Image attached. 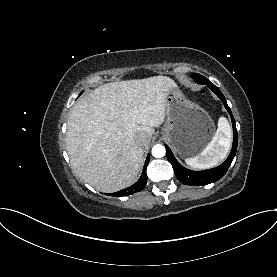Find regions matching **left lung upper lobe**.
Masks as SVG:
<instances>
[{"label": "left lung upper lobe", "mask_w": 277, "mask_h": 277, "mask_svg": "<svg viewBox=\"0 0 277 277\" xmlns=\"http://www.w3.org/2000/svg\"><path fill=\"white\" fill-rule=\"evenodd\" d=\"M191 77L194 79L195 82H197L198 80H205L206 79L205 77H203L202 75H200L198 73L192 74Z\"/></svg>", "instance_id": "obj_1"}]
</instances>
